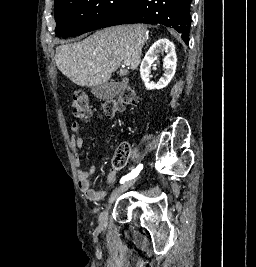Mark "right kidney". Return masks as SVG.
Listing matches in <instances>:
<instances>
[{"label": "right kidney", "mask_w": 256, "mask_h": 267, "mask_svg": "<svg viewBox=\"0 0 256 267\" xmlns=\"http://www.w3.org/2000/svg\"><path fill=\"white\" fill-rule=\"evenodd\" d=\"M159 52H165V54H167L163 62L165 74H163L157 84H154V82H150L149 84L151 64L155 62L157 58L156 54H159ZM176 62L177 58L175 54V46L172 42H170V40H167V38H161V40L154 42L153 46L149 48L145 58H143L140 66L141 80H143L147 90H161V88H166L175 74Z\"/></svg>", "instance_id": "ca27d5eb"}]
</instances>
